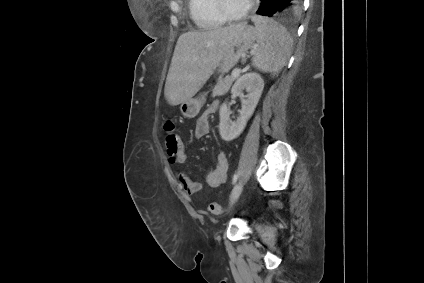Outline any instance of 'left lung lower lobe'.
Returning <instances> with one entry per match:
<instances>
[{
    "label": "left lung lower lobe",
    "instance_id": "1",
    "mask_svg": "<svg viewBox=\"0 0 424 283\" xmlns=\"http://www.w3.org/2000/svg\"><path fill=\"white\" fill-rule=\"evenodd\" d=\"M257 14L272 17L274 14L288 16L300 11L303 0H260Z\"/></svg>",
    "mask_w": 424,
    "mask_h": 283
}]
</instances>
